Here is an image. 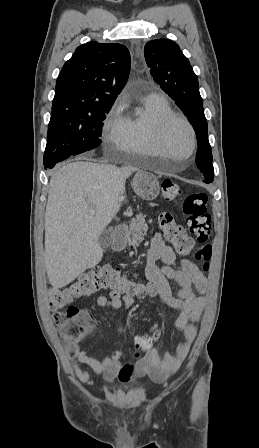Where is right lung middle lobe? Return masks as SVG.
<instances>
[{
    "instance_id": "dd1d6c3e",
    "label": "right lung middle lobe",
    "mask_w": 259,
    "mask_h": 448,
    "mask_svg": "<svg viewBox=\"0 0 259 448\" xmlns=\"http://www.w3.org/2000/svg\"><path fill=\"white\" fill-rule=\"evenodd\" d=\"M111 107L78 113H51L44 166L92 150L101 143L103 120Z\"/></svg>"
}]
</instances>
